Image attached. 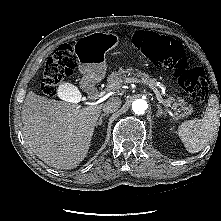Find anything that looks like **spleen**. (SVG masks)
Here are the masks:
<instances>
[{"instance_id":"1","label":"spleen","mask_w":221,"mask_h":221,"mask_svg":"<svg viewBox=\"0 0 221 221\" xmlns=\"http://www.w3.org/2000/svg\"><path fill=\"white\" fill-rule=\"evenodd\" d=\"M219 123V101L218 97L212 94L204 117L183 122L178 128V135L188 152L197 153L218 131Z\"/></svg>"}]
</instances>
